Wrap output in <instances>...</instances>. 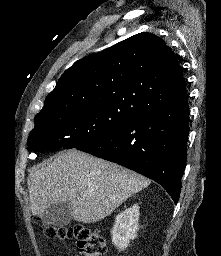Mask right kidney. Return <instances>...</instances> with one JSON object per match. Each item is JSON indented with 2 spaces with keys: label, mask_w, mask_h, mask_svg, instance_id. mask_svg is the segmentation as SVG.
I'll use <instances>...</instances> for the list:
<instances>
[{
  "label": "right kidney",
  "mask_w": 221,
  "mask_h": 256,
  "mask_svg": "<svg viewBox=\"0 0 221 256\" xmlns=\"http://www.w3.org/2000/svg\"><path fill=\"white\" fill-rule=\"evenodd\" d=\"M139 206L137 204L118 214L112 230V243L120 250L128 247L139 229Z\"/></svg>",
  "instance_id": "1"
}]
</instances>
